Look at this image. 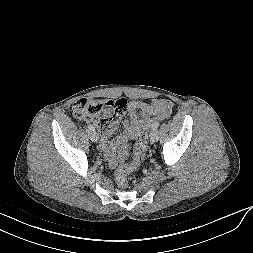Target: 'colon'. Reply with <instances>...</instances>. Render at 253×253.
<instances>
[{
	"mask_svg": "<svg viewBox=\"0 0 253 253\" xmlns=\"http://www.w3.org/2000/svg\"><path fill=\"white\" fill-rule=\"evenodd\" d=\"M127 101L124 98L116 100H100L81 98L72 106L76 118L93 121L98 130L108 134L114 130L119 118L127 111ZM149 126L141 129L134 148L132 160L119 166L115 171V180L120 188H127L129 175L142 163L148 149Z\"/></svg>",
	"mask_w": 253,
	"mask_h": 253,
	"instance_id": "1",
	"label": "colon"
}]
</instances>
